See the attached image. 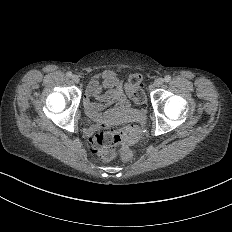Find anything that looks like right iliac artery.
I'll list each match as a JSON object with an SVG mask.
<instances>
[{
    "instance_id": "1",
    "label": "right iliac artery",
    "mask_w": 232,
    "mask_h": 232,
    "mask_svg": "<svg viewBox=\"0 0 232 232\" xmlns=\"http://www.w3.org/2000/svg\"><path fill=\"white\" fill-rule=\"evenodd\" d=\"M66 75H67V77H72V72L69 71L66 73Z\"/></svg>"
}]
</instances>
